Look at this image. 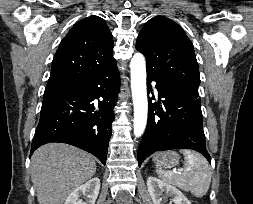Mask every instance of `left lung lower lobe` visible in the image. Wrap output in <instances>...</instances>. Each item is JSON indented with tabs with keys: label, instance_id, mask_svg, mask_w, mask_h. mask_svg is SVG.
I'll return each mask as SVG.
<instances>
[{
	"label": "left lung lower lobe",
	"instance_id": "0a47b994",
	"mask_svg": "<svg viewBox=\"0 0 253 204\" xmlns=\"http://www.w3.org/2000/svg\"><path fill=\"white\" fill-rule=\"evenodd\" d=\"M147 76L148 92L152 91L151 81H155L158 104L162 105L149 103L147 127L137 153L139 166L152 153L170 149L196 150L211 163L205 147L198 91L176 88ZM161 98L164 100L160 101Z\"/></svg>",
	"mask_w": 253,
	"mask_h": 204
}]
</instances>
